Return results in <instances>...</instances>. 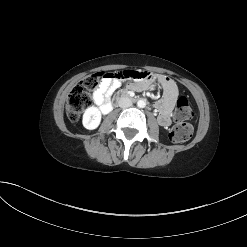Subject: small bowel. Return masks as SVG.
Returning <instances> with one entry per match:
<instances>
[{"label":"small bowel","instance_id":"1","mask_svg":"<svg viewBox=\"0 0 247 247\" xmlns=\"http://www.w3.org/2000/svg\"><path fill=\"white\" fill-rule=\"evenodd\" d=\"M129 83V88L135 91H142L159 82L163 88V98L156 103L159 109L158 123L163 127L171 124V112L178 97L176 83L167 76L158 75L156 72L144 70L113 71L105 77L93 94V101L103 113L112 110L111 97L122 83Z\"/></svg>","mask_w":247,"mask_h":247}]
</instances>
